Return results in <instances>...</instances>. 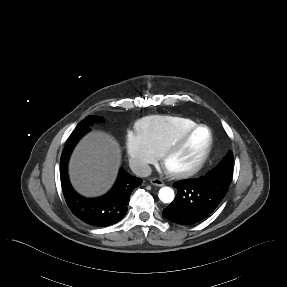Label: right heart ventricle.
<instances>
[{"label":"right heart ventricle","instance_id":"obj_1","mask_svg":"<svg viewBox=\"0 0 287 287\" xmlns=\"http://www.w3.org/2000/svg\"><path fill=\"white\" fill-rule=\"evenodd\" d=\"M196 122L179 115H151L141 119L137 124L138 133L145 136L158 154L182 133L191 129Z\"/></svg>","mask_w":287,"mask_h":287}]
</instances>
